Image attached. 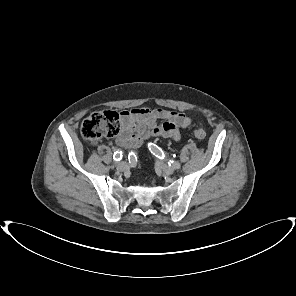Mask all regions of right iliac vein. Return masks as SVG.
Instances as JSON below:
<instances>
[{"label":"right iliac vein","instance_id":"63e3f726","mask_svg":"<svg viewBox=\"0 0 296 296\" xmlns=\"http://www.w3.org/2000/svg\"><path fill=\"white\" fill-rule=\"evenodd\" d=\"M127 168V163L126 162H120L118 165H117V170L118 171H125Z\"/></svg>","mask_w":296,"mask_h":296}]
</instances>
